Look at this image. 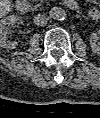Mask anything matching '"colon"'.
<instances>
[{"label": "colon", "mask_w": 100, "mask_h": 118, "mask_svg": "<svg viewBox=\"0 0 100 118\" xmlns=\"http://www.w3.org/2000/svg\"><path fill=\"white\" fill-rule=\"evenodd\" d=\"M91 15L94 17V18H98L99 17V12L97 10H93L91 12Z\"/></svg>", "instance_id": "obj_1"}]
</instances>
